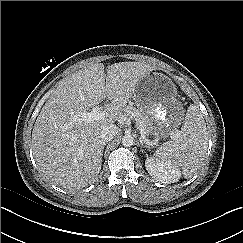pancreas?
Listing matches in <instances>:
<instances>
[{"mask_svg": "<svg viewBox=\"0 0 243 243\" xmlns=\"http://www.w3.org/2000/svg\"><path fill=\"white\" fill-rule=\"evenodd\" d=\"M124 112L126 116H131L134 118L143 134H150V123L142 112H140V110L133 106H127Z\"/></svg>", "mask_w": 243, "mask_h": 243, "instance_id": "cf45deb5", "label": "pancreas"}]
</instances>
